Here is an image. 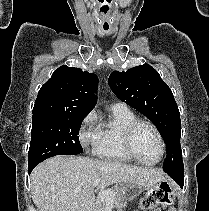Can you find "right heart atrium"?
<instances>
[{
	"instance_id": "obj_1",
	"label": "right heart atrium",
	"mask_w": 209,
	"mask_h": 211,
	"mask_svg": "<svg viewBox=\"0 0 209 211\" xmlns=\"http://www.w3.org/2000/svg\"><path fill=\"white\" fill-rule=\"evenodd\" d=\"M99 137L98 118L94 111L89 112L82 120L78 138L81 145L86 148H94Z\"/></svg>"
}]
</instances>
